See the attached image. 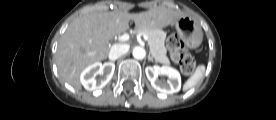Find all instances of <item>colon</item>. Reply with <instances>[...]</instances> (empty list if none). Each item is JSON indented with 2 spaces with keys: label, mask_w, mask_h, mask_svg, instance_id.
Masks as SVG:
<instances>
[{
  "label": "colon",
  "mask_w": 276,
  "mask_h": 120,
  "mask_svg": "<svg viewBox=\"0 0 276 120\" xmlns=\"http://www.w3.org/2000/svg\"><path fill=\"white\" fill-rule=\"evenodd\" d=\"M167 47L171 52L172 58L179 64L181 71L186 75L192 74L195 69L194 58L185 49L177 34L174 33L168 37Z\"/></svg>",
  "instance_id": "obj_1"
}]
</instances>
